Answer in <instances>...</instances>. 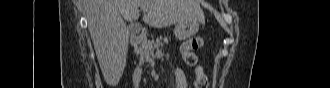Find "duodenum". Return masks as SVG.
Returning <instances> with one entry per match:
<instances>
[{
    "instance_id": "1",
    "label": "duodenum",
    "mask_w": 330,
    "mask_h": 88,
    "mask_svg": "<svg viewBox=\"0 0 330 88\" xmlns=\"http://www.w3.org/2000/svg\"><path fill=\"white\" fill-rule=\"evenodd\" d=\"M145 38H146V35H145L144 31L139 30L132 36L131 42L133 45H137V44L141 43ZM140 74H141V70H139V73L137 74V76H140Z\"/></svg>"
}]
</instances>
